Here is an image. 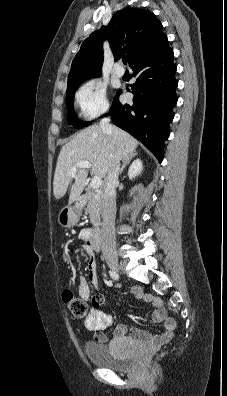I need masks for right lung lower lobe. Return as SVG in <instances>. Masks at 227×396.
<instances>
[{
  "mask_svg": "<svg viewBox=\"0 0 227 396\" xmlns=\"http://www.w3.org/2000/svg\"><path fill=\"white\" fill-rule=\"evenodd\" d=\"M130 67L137 75L131 85L133 102L122 105L119 102L122 90H119L108 115L116 126L141 141L161 162L177 102L176 66L168 41L143 52Z\"/></svg>",
  "mask_w": 227,
  "mask_h": 396,
  "instance_id": "right-lung-lower-lobe-1",
  "label": "right lung lower lobe"
}]
</instances>
